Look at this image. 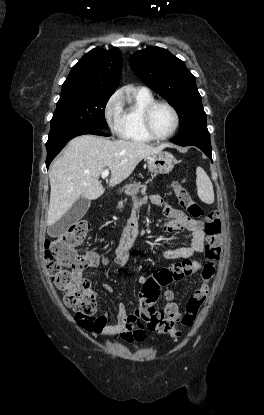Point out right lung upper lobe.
Instances as JSON below:
<instances>
[{
	"label": "right lung upper lobe",
	"instance_id": "right-lung-upper-lobe-1",
	"mask_svg": "<svg viewBox=\"0 0 264 415\" xmlns=\"http://www.w3.org/2000/svg\"><path fill=\"white\" fill-rule=\"evenodd\" d=\"M122 70V56L115 47L95 48L84 55L71 69L62 85L63 95L113 94Z\"/></svg>",
	"mask_w": 264,
	"mask_h": 415
}]
</instances>
